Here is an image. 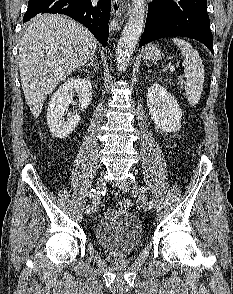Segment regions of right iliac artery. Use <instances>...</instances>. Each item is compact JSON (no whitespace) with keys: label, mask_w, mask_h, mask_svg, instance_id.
Masks as SVG:
<instances>
[{"label":"right iliac artery","mask_w":233,"mask_h":294,"mask_svg":"<svg viewBox=\"0 0 233 294\" xmlns=\"http://www.w3.org/2000/svg\"><path fill=\"white\" fill-rule=\"evenodd\" d=\"M95 194H96V189H95V188H92V189L90 190V193H89V198H90V199L94 198V197H95ZM90 210H91L90 205H87V206H86V210H85L86 213L89 214V213H90Z\"/></svg>","instance_id":"82829eb1"}]
</instances>
